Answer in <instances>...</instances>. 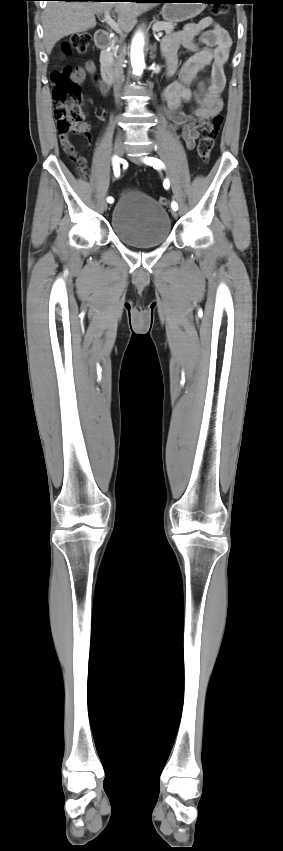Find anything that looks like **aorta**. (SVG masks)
Masks as SVG:
<instances>
[{"instance_id": "aorta-1", "label": "aorta", "mask_w": 283, "mask_h": 851, "mask_svg": "<svg viewBox=\"0 0 283 851\" xmlns=\"http://www.w3.org/2000/svg\"><path fill=\"white\" fill-rule=\"evenodd\" d=\"M143 47V35L141 33H137L133 38L131 45V65L133 74L136 76H140L145 68Z\"/></svg>"}]
</instances>
